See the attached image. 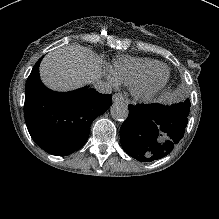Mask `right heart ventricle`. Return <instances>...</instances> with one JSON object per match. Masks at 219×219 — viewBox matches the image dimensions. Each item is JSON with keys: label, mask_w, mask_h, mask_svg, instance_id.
<instances>
[{"label": "right heart ventricle", "mask_w": 219, "mask_h": 219, "mask_svg": "<svg viewBox=\"0 0 219 219\" xmlns=\"http://www.w3.org/2000/svg\"><path fill=\"white\" fill-rule=\"evenodd\" d=\"M163 66L157 60L143 57H121L113 62L112 77L120 84L133 87L151 71Z\"/></svg>", "instance_id": "1"}]
</instances>
